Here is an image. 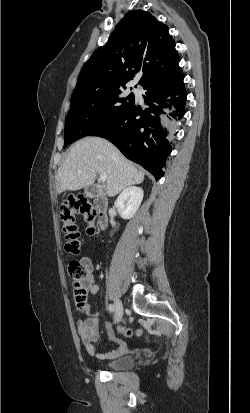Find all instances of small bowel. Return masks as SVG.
<instances>
[{"label": "small bowel", "instance_id": "small-bowel-1", "mask_svg": "<svg viewBox=\"0 0 250 413\" xmlns=\"http://www.w3.org/2000/svg\"><path fill=\"white\" fill-rule=\"evenodd\" d=\"M80 263L86 268L88 276L85 279L84 283L86 287L88 288L89 292L91 294H96L99 290V286L97 285L95 281V276H94V266L93 263L88 256H83L80 259ZM80 311L85 314L84 319H80L77 324V332L78 335L87 351V353L91 356L96 355V350H95V343L99 340L100 338V329H99V315L100 313L97 311L95 313L90 312V307L86 305L83 308H79ZM107 329L108 331H111V325L107 324ZM139 330V329H138ZM140 335V334H139ZM118 347L106 354H99L97 355L101 359H113L118 356H121L127 352V346L117 340Z\"/></svg>", "mask_w": 250, "mask_h": 413}]
</instances>
